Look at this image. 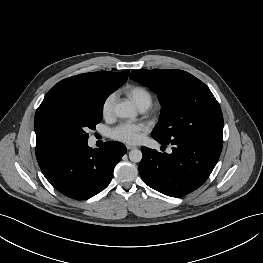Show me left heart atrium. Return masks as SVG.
I'll use <instances>...</instances> for the list:
<instances>
[{
    "instance_id": "obj_1",
    "label": "left heart atrium",
    "mask_w": 263,
    "mask_h": 263,
    "mask_svg": "<svg viewBox=\"0 0 263 263\" xmlns=\"http://www.w3.org/2000/svg\"><path fill=\"white\" fill-rule=\"evenodd\" d=\"M144 130L145 126L140 123H122L111 131V137L127 144H136Z\"/></svg>"
}]
</instances>
